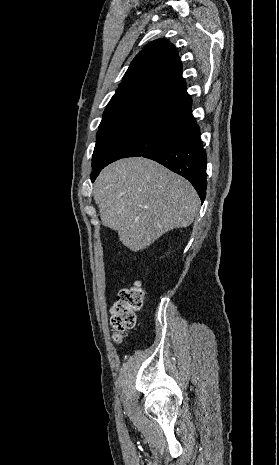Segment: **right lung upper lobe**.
I'll return each instance as SVG.
<instances>
[{
    "mask_svg": "<svg viewBox=\"0 0 279 465\" xmlns=\"http://www.w3.org/2000/svg\"><path fill=\"white\" fill-rule=\"evenodd\" d=\"M191 115L178 53L172 43L158 39L133 59L99 127L134 121L180 125Z\"/></svg>",
    "mask_w": 279,
    "mask_h": 465,
    "instance_id": "cb5924a9",
    "label": "right lung upper lobe"
}]
</instances>
